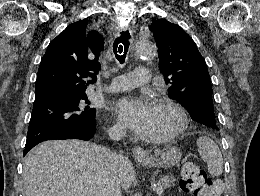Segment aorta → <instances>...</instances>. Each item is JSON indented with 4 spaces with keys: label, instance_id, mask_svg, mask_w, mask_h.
<instances>
[{
    "label": "aorta",
    "instance_id": "1",
    "mask_svg": "<svg viewBox=\"0 0 260 196\" xmlns=\"http://www.w3.org/2000/svg\"><path fill=\"white\" fill-rule=\"evenodd\" d=\"M135 53L140 57L151 58L156 55V47L150 42H139L136 45Z\"/></svg>",
    "mask_w": 260,
    "mask_h": 196
}]
</instances>
